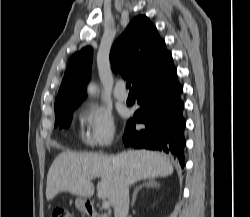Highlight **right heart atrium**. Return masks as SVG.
<instances>
[{
    "mask_svg": "<svg viewBox=\"0 0 250 217\" xmlns=\"http://www.w3.org/2000/svg\"><path fill=\"white\" fill-rule=\"evenodd\" d=\"M80 140L89 148H103L115 137V125L109 111L96 105L82 106L77 113Z\"/></svg>",
    "mask_w": 250,
    "mask_h": 217,
    "instance_id": "1",
    "label": "right heart atrium"
}]
</instances>
